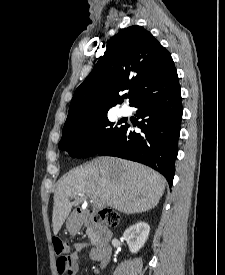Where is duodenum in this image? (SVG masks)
Wrapping results in <instances>:
<instances>
[{
	"instance_id": "410a0bca",
	"label": "duodenum",
	"mask_w": 225,
	"mask_h": 275,
	"mask_svg": "<svg viewBox=\"0 0 225 275\" xmlns=\"http://www.w3.org/2000/svg\"><path fill=\"white\" fill-rule=\"evenodd\" d=\"M97 213L95 209H90L87 213L82 209L77 211L82 223L92 227L96 237L97 261L100 267H105L112 255V232L105 225L95 220L94 217Z\"/></svg>"
}]
</instances>
